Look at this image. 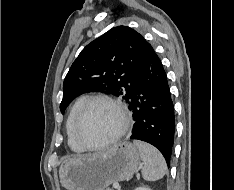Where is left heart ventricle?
I'll return each instance as SVG.
<instances>
[{
  "mask_svg": "<svg viewBox=\"0 0 234 190\" xmlns=\"http://www.w3.org/2000/svg\"><path fill=\"white\" fill-rule=\"evenodd\" d=\"M120 126V115L113 106L95 102L84 115L80 136L87 144L96 145L110 139Z\"/></svg>",
  "mask_w": 234,
  "mask_h": 190,
  "instance_id": "left-heart-ventricle-1",
  "label": "left heart ventricle"
}]
</instances>
